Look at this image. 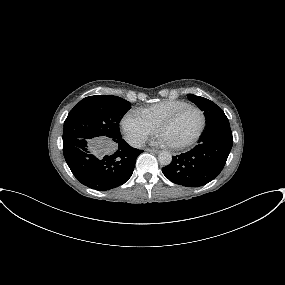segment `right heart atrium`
<instances>
[{
  "label": "right heart atrium",
  "instance_id": "1",
  "mask_svg": "<svg viewBox=\"0 0 285 285\" xmlns=\"http://www.w3.org/2000/svg\"><path fill=\"white\" fill-rule=\"evenodd\" d=\"M121 127L128 142L133 146H141L149 136L155 133V128L134 112H127L123 116Z\"/></svg>",
  "mask_w": 285,
  "mask_h": 285
}]
</instances>
